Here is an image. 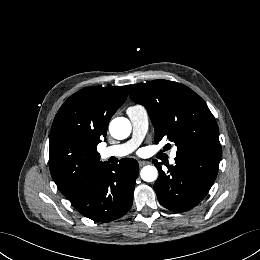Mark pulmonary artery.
<instances>
[{"label": "pulmonary artery", "mask_w": 260, "mask_h": 260, "mask_svg": "<svg viewBox=\"0 0 260 260\" xmlns=\"http://www.w3.org/2000/svg\"><path fill=\"white\" fill-rule=\"evenodd\" d=\"M127 115L132 125L133 137L130 141L121 145L106 147L101 151L104 158L123 157L131 153L140 143L148 129V115L144 107L131 106L127 109ZM175 153L172 154L171 162L174 161Z\"/></svg>", "instance_id": "e3ab8cb5"}]
</instances>
